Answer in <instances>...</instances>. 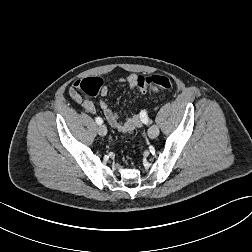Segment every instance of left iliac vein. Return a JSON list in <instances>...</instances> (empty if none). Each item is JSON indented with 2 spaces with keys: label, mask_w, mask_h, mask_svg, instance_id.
I'll return each mask as SVG.
<instances>
[{
  "label": "left iliac vein",
  "mask_w": 252,
  "mask_h": 252,
  "mask_svg": "<svg viewBox=\"0 0 252 252\" xmlns=\"http://www.w3.org/2000/svg\"><path fill=\"white\" fill-rule=\"evenodd\" d=\"M159 134V128L156 126V125H153L149 128L148 130V136L151 138V139H154L158 136Z\"/></svg>",
  "instance_id": "obj_1"
}]
</instances>
